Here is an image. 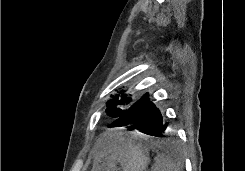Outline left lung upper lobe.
Returning <instances> with one entry per match:
<instances>
[{"mask_svg": "<svg viewBox=\"0 0 245 171\" xmlns=\"http://www.w3.org/2000/svg\"><path fill=\"white\" fill-rule=\"evenodd\" d=\"M119 96L120 95L117 94L114 99L107 103L106 111L109 116L116 117L117 119H119L133 105V103L128 101L130 98L127 97L126 94H124L121 99H119Z\"/></svg>", "mask_w": 245, "mask_h": 171, "instance_id": "5c2ea615", "label": "left lung upper lobe"}]
</instances>
